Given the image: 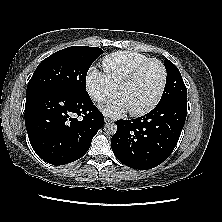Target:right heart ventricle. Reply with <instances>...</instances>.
Masks as SVG:
<instances>
[{"label": "right heart ventricle", "instance_id": "1", "mask_svg": "<svg viewBox=\"0 0 222 222\" xmlns=\"http://www.w3.org/2000/svg\"><path fill=\"white\" fill-rule=\"evenodd\" d=\"M147 59L149 57L141 53L118 51L107 55L102 60V66L111 81L118 87L138 64Z\"/></svg>", "mask_w": 222, "mask_h": 222}]
</instances>
